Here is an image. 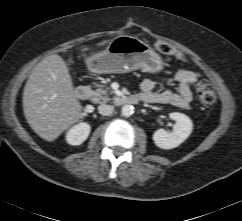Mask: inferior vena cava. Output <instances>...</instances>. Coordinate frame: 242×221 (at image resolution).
<instances>
[{"label":"inferior vena cava","instance_id":"obj_1","mask_svg":"<svg viewBox=\"0 0 242 221\" xmlns=\"http://www.w3.org/2000/svg\"><path fill=\"white\" fill-rule=\"evenodd\" d=\"M98 111L103 116H108L114 112V106L102 104L98 107Z\"/></svg>","mask_w":242,"mask_h":221}]
</instances>
